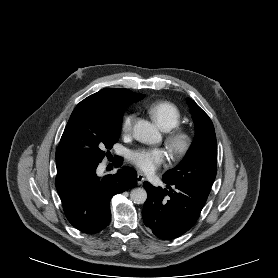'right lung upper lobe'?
Here are the masks:
<instances>
[{"instance_id": "1", "label": "right lung upper lobe", "mask_w": 278, "mask_h": 278, "mask_svg": "<svg viewBox=\"0 0 278 278\" xmlns=\"http://www.w3.org/2000/svg\"><path fill=\"white\" fill-rule=\"evenodd\" d=\"M144 97V94L134 93L128 89L106 88L85 98L76 108L88 106L102 110H115L123 105L140 101Z\"/></svg>"}]
</instances>
